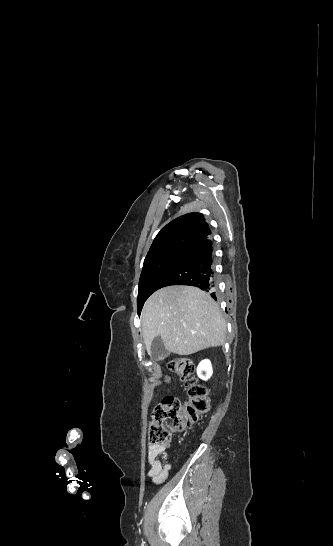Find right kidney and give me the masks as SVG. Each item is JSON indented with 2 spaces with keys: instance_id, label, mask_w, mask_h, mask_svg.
<instances>
[{
  "instance_id": "right-kidney-1",
  "label": "right kidney",
  "mask_w": 333,
  "mask_h": 546,
  "mask_svg": "<svg viewBox=\"0 0 333 546\" xmlns=\"http://www.w3.org/2000/svg\"><path fill=\"white\" fill-rule=\"evenodd\" d=\"M212 365L210 360H202L197 367L198 377L202 380H208L212 376Z\"/></svg>"
}]
</instances>
